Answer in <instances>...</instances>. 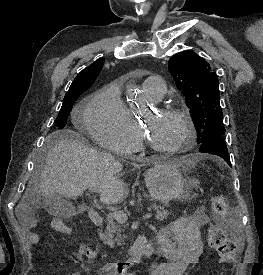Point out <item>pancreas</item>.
<instances>
[{"mask_svg":"<svg viewBox=\"0 0 263 275\" xmlns=\"http://www.w3.org/2000/svg\"><path fill=\"white\" fill-rule=\"evenodd\" d=\"M152 208L156 212V219L158 220H164L168 217L169 212L165 210L164 208L157 206L156 204H152ZM107 221V227L104 232H100L99 236L101 241H103L104 244L109 245L110 247H114L115 242H117L118 245H120V241L122 238H125V236L121 235V227L118 222L115 221V218L113 216V213H110L106 217Z\"/></svg>","mask_w":263,"mask_h":275,"instance_id":"cf45deb5","label":"pancreas"}]
</instances>
